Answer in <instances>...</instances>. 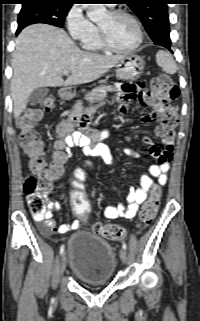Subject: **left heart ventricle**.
<instances>
[{"label": "left heart ventricle", "mask_w": 200, "mask_h": 321, "mask_svg": "<svg viewBox=\"0 0 200 321\" xmlns=\"http://www.w3.org/2000/svg\"><path fill=\"white\" fill-rule=\"evenodd\" d=\"M117 48H129L137 41L134 23L126 17L113 18L107 14L98 24Z\"/></svg>", "instance_id": "b2bd125f"}]
</instances>
